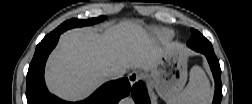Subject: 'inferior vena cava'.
I'll return each instance as SVG.
<instances>
[{
  "label": "inferior vena cava",
  "instance_id": "inferior-vena-cava-1",
  "mask_svg": "<svg viewBox=\"0 0 252 104\" xmlns=\"http://www.w3.org/2000/svg\"><path fill=\"white\" fill-rule=\"evenodd\" d=\"M124 74L125 70L122 69H109L104 73V75L109 79H118L123 77Z\"/></svg>",
  "mask_w": 252,
  "mask_h": 104
}]
</instances>
